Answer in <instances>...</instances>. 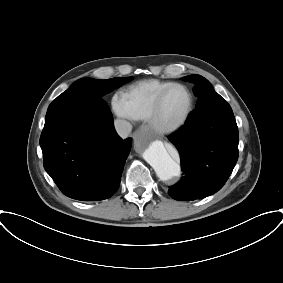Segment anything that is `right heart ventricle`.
Wrapping results in <instances>:
<instances>
[{
    "label": "right heart ventricle",
    "mask_w": 283,
    "mask_h": 283,
    "mask_svg": "<svg viewBox=\"0 0 283 283\" xmlns=\"http://www.w3.org/2000/svg\"><path fill=\"white\" fill-rule=\"evenodd\" d=\"M171 84L173 82L159 79L140 81L122 92L120 97L132 119L148 120L157 96Z\"/></svg>",
    "instance_id": "e07e8e85"
}]
</instances>
